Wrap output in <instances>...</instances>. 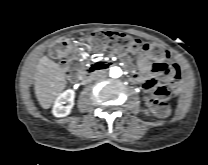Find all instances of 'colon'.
Returning <instances> with one entry per match:
<instances>
[{"label": "colon", "mask_w": 208, "mask_h": 165, "mask_svg": "<svg viewBox=\"0 0 208 165\" xmlns=\"http://www.w3.org/2000/svg\"><path fill=\"white\" fill-rule=\"evenodd\" d=\"M87 45L93 50L104 48L113 49L119 53L136 52L139 50L149 51L155 60H165L170 52L164 46L158 44L142 43L136 38L118 32H93L86 38ZM71 52L70 42L60 39L53 43L50 48V56L54 59H63ZM169 91L164 86H157L153 95L148 99L152 110L158 115H165L168 111Z\"/></svg>", "instance_id": "5ec220e1"}]
</instances>
